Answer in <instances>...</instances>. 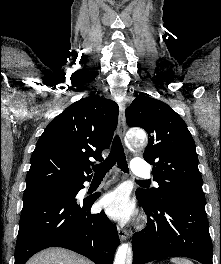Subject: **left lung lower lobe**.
Returning a JSON list of instances; mask_svg holds the SVG:
<instances>
[{"label":"left lung lower lobe","instance_id":"1","mask_svg":"<svg viewBox=\"0 0 221 264\" xmlns=\"http://www.w3.org/2000/svg\"><path fill=\"white\" fill-rule=\"evenodd\" d=\"M147 227L132 238L133 264L165 257H188L213 264L205 203L165 198L146 203Z\"/></svg>","mask_w":221,"mask_h":264}]
</instances>
